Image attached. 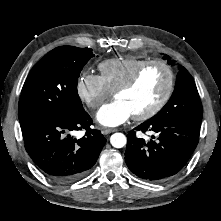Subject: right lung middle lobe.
Listing matches in <instances>:
<instances>
[{"instance_id":"obj_1","label":"right lung middle lobe","mask_w":221,"mask_h":221,"mask_svg":"<svg viewBox=\"0 0 221 221\" xmlns=\"http://www.w3.org/2000/svg\"><path fill=\"white\" fill-rule=\"evenodd\" d=\"M94 56L90 48L60 46L30 71L21 91V128L51 117H69L84 110L77 92L78 77Z\"/></svg>"}]
</instances>
